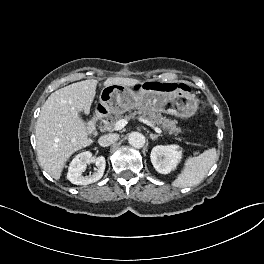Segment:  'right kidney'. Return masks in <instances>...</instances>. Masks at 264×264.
I'll return each mask as SVG.
<instances>
[{"label": "right kidney", "instance_id": "right-kidney-1", "mask_svg": "<svg viewBox=\"0 0 264 264\" xmlns=\"http://www.w3.org/2000/svg\"><path fill=\"white\" fill-rule=\"evenodd\" d=\"M95 163L97 169L92 175L83 176L87 164ZM106 166L105 157L93 158L89 151L78 154L70 163L67 179L75 185H88L97 182L104 174Z\"/></svg>", "mask_w": 264, "mask_h": 264}]
</instances>
